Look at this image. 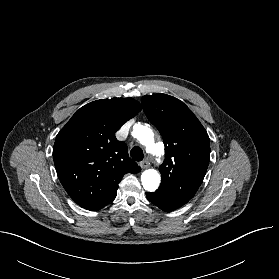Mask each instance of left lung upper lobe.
Masks as SVG:
<instances>
[{"label": "left lung upper lobe", "mask_w": 279, "mask_h": 279, "mask_svg": "<svg viewBox=\"0 0 279 279\" xmlns=\"http://www.w3.org/2000/svg\"><path fill=\"white\" fill-rule=\"evenodd\" d=\"M143 110L159 132L166 149L160 166L162 181L154 192L189 201L200 187L210 160L209 136L190 109L166 94L144 96Z\"/></svg>", "instance_id": "obj_1"}]
</instances>
